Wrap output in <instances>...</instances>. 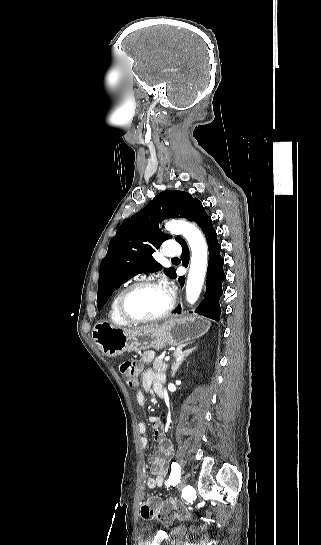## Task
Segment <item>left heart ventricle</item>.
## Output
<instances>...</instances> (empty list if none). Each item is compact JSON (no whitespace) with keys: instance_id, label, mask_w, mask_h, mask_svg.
<instances>
[{"instance_id":"left-heart-ventricle-1","label":"left heart ventricle","mask_w":321,"mask_h":545,"mask_svg":"<svg viewBox=\"0 0 321 545\" xmlns=\"http://www.w3.org/2000/svg\"><path fill=\"white\" fill-rule=\"evenodd\" d=\"M170 304V294L165 289L142 288L128 294L124 307L133 319H144L163 313Z\"/></svg>"}]
</instances>
